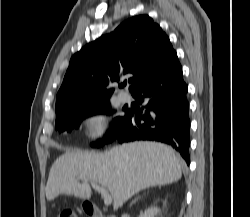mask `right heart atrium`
Returning <instances> with one entry per match:
<instances>
[{
    "instance_id": "1",
    "label": "right heart atrium",
    "mask_w": 250,
    "mask_h": 217,
    "mask_svg": "<svg viewBox=\"0 0 250 217\" xmlns=\"http://www.w3.org/2000/svg\"><path fill=\"white\" fill-rule=\"evenodd\" d=\"M81 129L86 138L99 140L106 136L108 131V120L104 112L90 110L80 120Z\"/></svg>"
}]
</instances>
